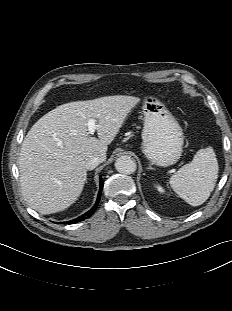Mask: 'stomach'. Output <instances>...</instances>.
Here are the masks:
<instances>
[{"mask_svg": "<svg viewBox=\"0 0 232 311\" xmlns=\"http://www.w3.org/2000/svg\"><path fill=\"white\" fill-rule=\"evenodd\" d=\"M144 127L142 152L157 166L175 164L183 152L184 135L179 123L158 99L147 96L143 100Z\"/></svg>", "mask_w": 232, "mask_h": 311, "instance_id": "obj_1", "label": "stomach"}]
</instances>
